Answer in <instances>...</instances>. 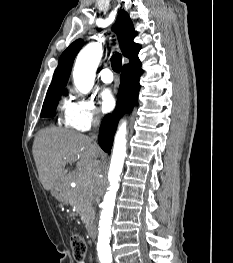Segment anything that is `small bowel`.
<instances>
[{"mask_svg": "<svg viewBox=\"0 0 233 263\" xmlns=\"http://www.w3.org/2000/svg\"><path fill=\"white\" fill-rule=\"evenodd\" d=\"M77 263H87L85 260L78 261Z\"/></svg>", "mask_w": 233, "mask_h": 263, "instance_id": "c3829d8e", "label": "small bowel"}]
</instances>
